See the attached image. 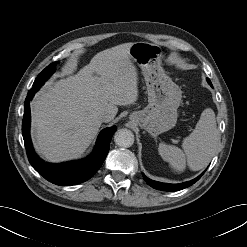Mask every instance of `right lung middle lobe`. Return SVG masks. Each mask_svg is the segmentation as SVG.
<instances>
[{
  "instance_id": "dd1d6c3e",
  "label": "right lung middle lobe",
  "mask_w": 247,
  "mask_h": 247,
  "mask_svg": "<svg viewBox=\"0 0 247 247\" xmlns=\"http://www.w3.org/2000/svg\"><path fill=\"white\" fill-rule=\"evenodd\" d=\"M57 62L51 63L49 66H47L35 79L33 83V88H40L44 82L53 74L55 71V65Z\"/></svg>"
}]
</instances>
